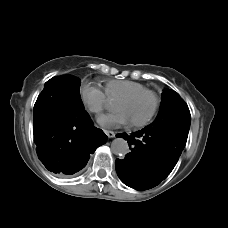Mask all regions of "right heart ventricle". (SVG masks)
Wrapping results in <instances>:
<instances>
[{
	"instance_id": "e07e8e85",
	"label": "right heart ventricle",
	"mask_w": 228,
	"mask_h": 228,
	"mask_svg": "<svg viewBox=\"0 0 228 228\" xmlns=\"http://www.w3.org/2000/svg\"><path fill=\"white\" fill-rule=\"evenodd\" d=\"M106 95L110 102L118 106L127 98L148 91V87L142 83L130 80H112L106 84Z\"/></svg>"
}]
</instances>
